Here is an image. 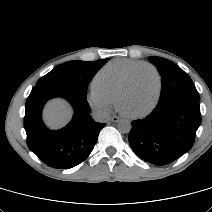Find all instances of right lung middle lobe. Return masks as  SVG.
Instances as JSON below:
<instances>
[{
  "mask_svg": "<svg viewBox=\"0 0 212 212\" xmlns=\"http://www.w3.org/2000/svg\"><path fill=\"white\" fill-rule=\"evenodd\" d=\"M107 61L108 59L65 62L41 77L35 87L69 89L86 96L90 80Z\"/></svg>",
  "mask_w": 212,
  "mask_h": 212,
  "instance_id": "obj_1",
  "label": "right lung middle lobe"
}]
</instances>
